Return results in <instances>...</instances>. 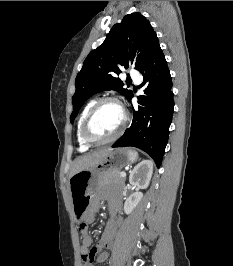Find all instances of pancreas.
I'll list each match as a JSON object with an SVG mask.
<instances>
[{"label": "pancreas", "instance_id": "1", "mask_svg": "<svg viewBox=\"0 0 233 266\" xmlns=\"http://www.w3.org/2000/svg\"><path fill=\"white\" fill-rule=\"evenodd\" d=\"M120 171H111L104 173L99 180V186L116 185L123 186L125 178L120 176Z\"/></svg>", "mask_w": 233, "mask_h": 266}]
</instances>
